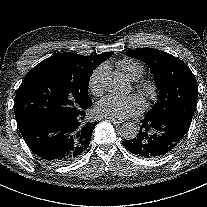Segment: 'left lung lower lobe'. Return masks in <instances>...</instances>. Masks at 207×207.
<instances>
[{
	"label": "left lung lower lobe",
	"mask_w": 207,
	"mask_h": 207,
	"mask_svg": "<svg viewBox=\"0 0 207 207\" xmlns=\"http://www.w3.org/2000/svg\"><path fill=\"white\" fill-rule=\"evenodd\" d=\"M141 122L137 136L122 143L133 154L150 159L170 152L190 127L173 116L155 118L145 115Z\"/></svg>",
	"instance_id": "obj_1"
}]
</instances>
